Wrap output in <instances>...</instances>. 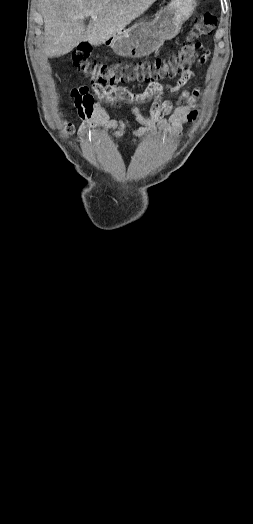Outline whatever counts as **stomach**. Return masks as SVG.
I'll list each match as a JSON object with an SVG mask.
<instances>
[{
    "mask_svg": "<svg viewBox=\"0 0 253 524\" xmlns=\"http://www.w3.org/2000/svg\"><path fill=\"white\" fill-rule=\"evenodd\" d=\"M196 0H172L152 21H138L122 29L103 43L122 57L141 58L174 38L194 12Z\"/></svg>",
    "mask_w": 253,
    "mask_h": 524,
    "instance_id": "0dacf381",
    "label": "stomach"
}]
</instances>
